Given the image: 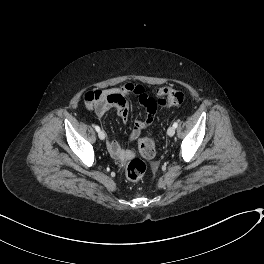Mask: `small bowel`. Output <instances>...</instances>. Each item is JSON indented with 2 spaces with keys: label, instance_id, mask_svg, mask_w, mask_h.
Listing matches in <instances>:
<instances>
[{
  "label": "small bowel",
  "instance_id": "c3829d8e",
  "mask_svg": "<svg viewBox=\"0 0 264 264\" xmlns=\"http://www.w3.org/2000/svg\"><path fill=\"white\" fill-rule=\"evenodd\" d=\"M144 92L145 88L143 86L128 82L122 86L90 92L85 96V103L88 107L94 109L96 116L99 118L104 116L111 108H115L117 115L123 120L124 124H127L129 116L127 97ZM156 110L157 106L153 109H148V115L142 122L144 125H148L153 121ZM138 136L139 130L136 127L129 138L136 139ZM106 147L110 155L115 159L125 160L134 154L133 151L123 149L122 143L118 140H107Z\"/></svg>",
  "mask_w": 264,
  "mask_h": 264
}]
</instances>
